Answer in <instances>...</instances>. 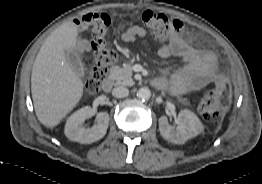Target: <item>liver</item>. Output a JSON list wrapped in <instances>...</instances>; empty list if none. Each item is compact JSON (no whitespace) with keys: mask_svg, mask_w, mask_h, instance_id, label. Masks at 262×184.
I'll return each instance as SVG.
<instances>
[{"mask_svg":"<svg viewBox=\"0 0 262 184\" xmlns=\"http://www.w3.org/2000/svg\"><path fill=\"white\" fill-rule=\"evenodd\" d=\"M77 26L66 22L41 46L32 68L31 92L36 116L47 128L57 126L83 95V82L73 72L67 51L76 49Z\"/></svg>","mask_w":262,"mask_h":184,"instance_id":"1","label":"liver"}]
</instances>
